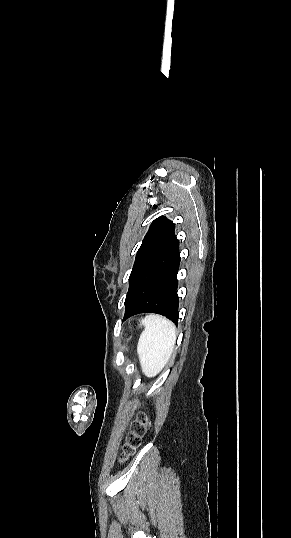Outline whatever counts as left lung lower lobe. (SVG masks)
<instances>
[{"instance_id":"0a47b994","label":"left lung lower lobe","mask_w":291,"mask_h":538,"mask_svg":"<svg viewBox=\"0 0 291 538\" xmlns=\"http://www.w3.org/2000/svg\"><path fill=\"white\" fill-rule=\"evenodd\" d=\"M180 264L179 241L171 244L140 276L125 302L124 320L150 312L178 323L177 272Z\"/></svg>"}]
</instances>
